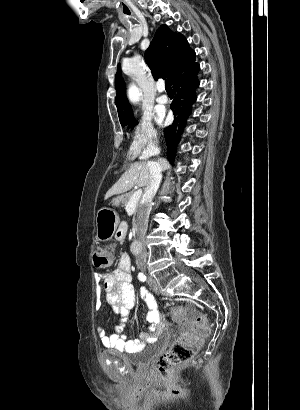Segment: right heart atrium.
I'll return each instance as SVG.
<instances>
[{
	"label": "right heart atrium",
	"mask_w": 300,
	"mask_h": 410,
	"mask_svg": "<svg viewBox=\"0 0 300 410\" xmlns=\"http://www.w3.org/2000/svg\"><path fill=\"white\" fill-rule=\"evenodd\" d=\"M156 139L152 119L149 116H141L133 129L130 154L133 156L141 154L146 149H151Z\"/></svg>",
	"instance_id": "obj_1"
}]
</instances>
